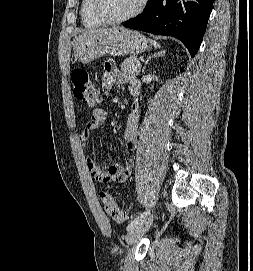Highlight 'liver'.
Masks as SVG:
<instances>
[{
	"mask_svg": "<svg viewBox=\"0 0 253 271\" xmlns=\"http://www.w3.org/2000/svg\"><path fill=\"white\" fill-rule=\"evenodd\" d=\"M113 29H116V28H113ZM107 29H102V30H97V31H88V32H84L82 33L81 35H79L78 37L75 38V40L77 39H81L83 38L84 36L90 34V33H93V32H99V31H106Z\"/></svg>",
	"mask_w": 253,
	"mask_h": 271,
	"instance_id": "6515ba94",
	"label": "liver"
}]
</instances>
